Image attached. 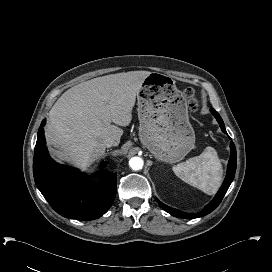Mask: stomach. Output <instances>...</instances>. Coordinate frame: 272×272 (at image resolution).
<instances>
[{
    "mask_svg": "<svg viewBox=\"0 0 272 272\" xmlns=\"http://www.w3.org/2000/svg\"><path fill=\"white\" fill-rule=\"evenodd\" d=\"M139 137L160 161H181L194 147L195 132L189 122L188 107L175 80L152 72L137 93Z\"/></svg>",
    "mask_w": 272,
    "mask_h": 272,
    "instance_id": "0dacf381",
    "label": "stomach"
}]
</instances>
